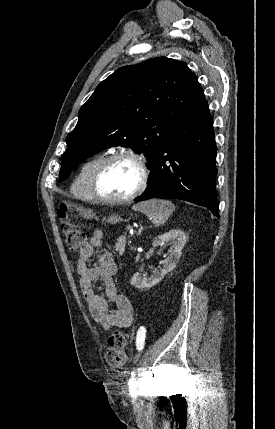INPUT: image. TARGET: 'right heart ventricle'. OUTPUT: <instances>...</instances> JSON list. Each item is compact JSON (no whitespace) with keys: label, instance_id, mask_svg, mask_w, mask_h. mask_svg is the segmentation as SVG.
Masks as SVG:
<instances>
[{"label":"right heart ventricle","instance_id":"1","mask_svg":"<svg viewBox=\"0 0 275 429\" xmlns=\"http://www.w3.org/2000/svg\"><path fill=\"white\" fill-rule=\"evenodd\" d=\"M104 158L103 154L96 155L85 163H83L78 170L76 176L74 177L71 184L72 193L83 201H93L94 198L90 192V178L91 175L99 164V162Z\"/></svg>","mask_w":275,"mask_h":429}]
</instances>
